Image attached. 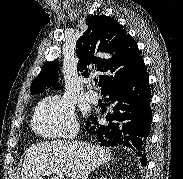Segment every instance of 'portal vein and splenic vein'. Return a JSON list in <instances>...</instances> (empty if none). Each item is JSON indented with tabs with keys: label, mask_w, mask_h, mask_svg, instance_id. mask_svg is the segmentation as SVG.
Instances as JSON below:
<instances>
[{
	"label": "portal vein and splenic vein",
	"mask_w": 183,
	"mask_h": 179,
	"mask_svg": "<svg viewBox=\"0 0 183 179\" xmlns=\"http://www.w3.org/2000/svg\"><path fill=\"white\" fill-rule=\"evenodd\" d=\"M51 174H56V175H58L59 177H63V172H62V170H60V169H52V170H48V171H46V172L44 173V175H46V176H49V175H51Z\"/></svg>",
	"instance_id": "obj_1"
}]
</instances>
